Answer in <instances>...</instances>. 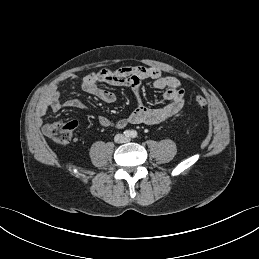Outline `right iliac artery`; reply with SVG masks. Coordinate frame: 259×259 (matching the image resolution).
I'll use <instances>...</instances> for the list:
<instances>
[{
  "label": "right iliac artery",
  "mask_w": 259,
  "mask_h": 259,
  "mask_svg": "<svg viewBox=\"0 0 259 259\" xmlns=\"http://www.w3.org/2000/svg\"><path fill=\"white\" fill-rule=\"evenodd\" d=\"M130 135H131V132H130V131L126 130V131L124 132V136H125V137H129Z\"/></svg>",
  "instance_id": "obj_1"
}]
</instances>
